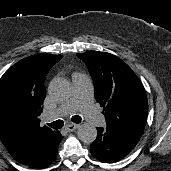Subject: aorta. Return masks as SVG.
<instances>
[{"instance_id":"aorta-1","label":"aorta","mask_w":171,"mask_h":171,"mask_svg":"<svg viewBox=\"0 0 171 171\" xmlns=\"http://www.w3.org/2000/svg\"><path fill=\"white\" fill-rule=\"evenodd\" d=\"M71 91L70 83L66 79L57 78L50 82L48 92L56 100L66 99ZM79 140L85 143H92L97 137V130L89 123L82 124L77 131Z\"/></svg>"}]
</instances>
